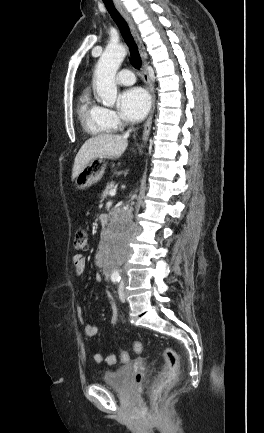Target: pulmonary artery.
I'll list each match as a JSON object with an SVG mask.
<instances>
[{
  "instance_id": "1",
  "label": "pulmonary artery",
  "mask_w": 264,
  "mask_h": 433,
  "mask_svg": "<svg viewBox=\"0 0 264 433\" xmlns=\"http://www.w3.org/2000/svg\"><path fill=\"white\" fill-rule=\"evenodd\" d=\"M116 81L120 85L129 86L135 82V77L130 69H122L118 73Z\"/></svg>"
}]
</instances>
